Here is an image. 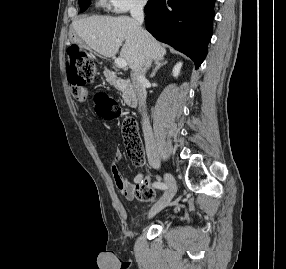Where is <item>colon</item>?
Listing matches in <instances>:
<instances>
[{"mask_svg": "<svg viewBox=\"0 0 286 269\" xmlns=\"http://www.w3.org/2000/svg\"><path fill=\"white\" fill-rule=\"evenodd\" d=\"M67 74L72 84V95H76L78 89L96 80L98 76L97 66L93 57L81 50L77 45L67 47ZM96 112L105 119H113L120 113L117 103L106 93L100 92L96 97ZM122 135L128 156L134 166L144 164V150L140 140L138 125L134 118H125L122 121ZM135 197L143 202H151L155 199L156 192L144 178L135 184Z\"/></svg>", "mask_w": 286, "mask_h": 269, "instance_id": "1", "label": "colon"}]
</instances>
